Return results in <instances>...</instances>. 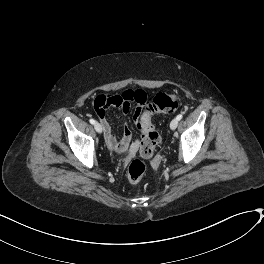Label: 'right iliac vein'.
<instances>
[{
  "label": "right iliac vein",
  "instance_id": "63e3f726",
  "mask_svg": "<svg viewBox=\"0 0 264 264\" xmlns=\"http://www.w3.org/2000/svg\"><path fill=\"white\" fill-rule=\"evenodd\" d=\"M94 127H95V130L98 132V133H102V126L99 124V123H95L94 124Z\"/></svg>",
  "mask_w": 264,
  "mask_h": 264
}]
</instances>
